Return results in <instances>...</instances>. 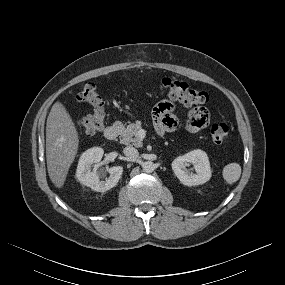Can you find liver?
<instances>
[{
    "label": "liver",
    "instance_id": "obj_1",
    "mask_svg": "<svg viewBox=\"0 0 285 285\" xmlns=\"http://www.w3.org/2000/svg\"><path fill=\"white\" fill-rule=\"evenodd\" d=\"M79 147L75 123L61 102H56L46 124L47 170L52 183L61 188Z\"/></svg>",
    "mask_w": 285,
    "mask_h": 285
}]
</instances>
